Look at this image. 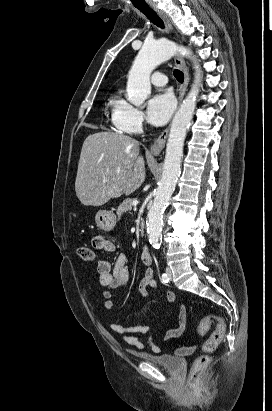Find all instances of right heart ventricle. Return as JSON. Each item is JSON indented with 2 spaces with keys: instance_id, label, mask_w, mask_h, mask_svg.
Returning <instances> with one entry per match:
<instances>
[{
  "instance_id": "e07e8e85",
  "label": "right heart ventricle",
  "mask_w": 272,
  "mask_h": 411,
  "mask_svg": "<svg viewBox=\"0 0 272 411\" xmlns=\"http://www.w3.org/2000/svg\"><path fill=\"white\" fill-rule=\"evenodd\" d=\"M121 98L118 96H112L109 100L110 105L113 107Z\"/></svg>"
}]
</instances>
